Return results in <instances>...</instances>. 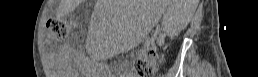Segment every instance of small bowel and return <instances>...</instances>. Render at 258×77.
Segmentation results:
<instances>
[{"label": "small bowel", "mask_w": 258, "mask_h": 77, "mask_svg": "<svg viewBox=\"0 0 258 77\" xmlns=\"http://www.w3.org/2000/svg\"><path fill=\"white\" fill-rule=\"evenodd\" d=\"M162 42H163V40H162V39H159V40H158V43H159V44H161Z\"/></svg>", "instance_id": "obj_1"}]
</instances>
